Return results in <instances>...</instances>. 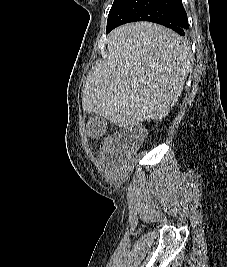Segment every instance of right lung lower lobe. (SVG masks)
Wrapping results in <instances>:
<instances>
[{"mask_svg": "<svg viewBox=\"0 0 227 267\" xmlns=\"http://www.w3.org/2000/svg\"><path fill=\"white\" fill-rule=\"evenodd\" d=\"M134 21H151L180 35L188 29V19L181 0H127L107 25L106 32Z\"/></svg>", "mask_w": 227, "mask_h": 267, "instance_id": "98d812e1", "label": "right lung lower lobe"}]
</instances>
